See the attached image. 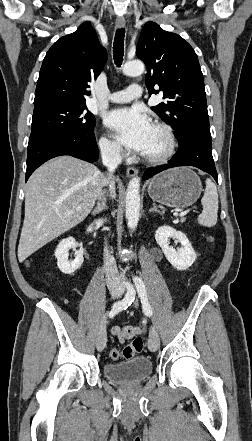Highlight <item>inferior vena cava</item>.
<instances>
[{"mask_svg": "<svg viewBox=\"0 0 252 441\" xmlns=\"http://www.w3.org/2000/svg\"><path fill=\"white\" fill-rule=\"evenodd\" d=\"M100 150L102 162L108 169V174L104 178L102 187L109 185L110 195L114 197L113 172L122 160V157L120 155V148L118 146L103 145L100 147ZM103 195L104 191L101 189L98 193L99 200L102 198ZM104 270L106 274V284L108 286V289L110 291L122 292L124 288L118 276L116 262L114 257L109 253L106 243L104 247Z\"/></svg>", "mask_w": 252, "mask_h": 441, "instance_id": "602c4592", "label": "inferior vena cava"}]
</instances>
